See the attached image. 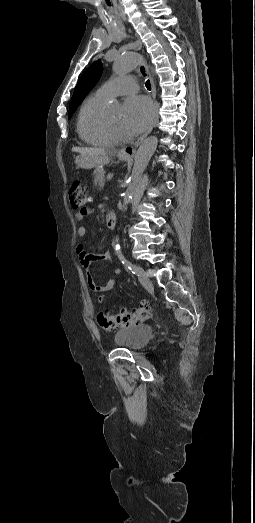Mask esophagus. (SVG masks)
<instances>
[{
  "instance_id": "1",
  "label": "esophagus",
  "mask_w": 255,
  "mask_h": 523,
  "mask_svg": "<svg viewBox=\"0 0 255 523\" xmlns=\"http://www.w3.org/2000/svg\"><path fill=\"white\" fill-rule=\"evenodd\" d=\"M140 68H141L142 71H145L148 74V76H149V81L151 83V88H152V90H151L152 91V96H153V99H154L155 105H156V88H155V85H154V81H153L151 75L149 74V71H148L146 63H142L140 65ZM156 117H157V107L155 106V108L153 110V121H152L151 125L147 128V130L143 133V135H141V137L138 138V140L135 142L134 145L126 146V147L121 148L120 153L122 155H124V156H126L128 158L134 157V155L136 154L137 147L143 142V140L152 131Z\"/></svg>"
}]
</instances>
